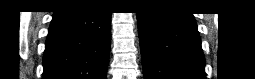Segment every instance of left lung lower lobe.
<instances>
[{"label":"left lung lower lobe","mask_w":255,"mask_h":79,"mask_svg":"<svg viewBox=\"0 0 255 79\" xmlns=\"http://www.w3.org/2000/svg\"><path fill=\"white\" fill-rule=\"evenodd\" d=\"M145 79H205V59L192 14L164 6L137 13Z\"/></svg>","instance_id":"obj_1"}]
</instances>
